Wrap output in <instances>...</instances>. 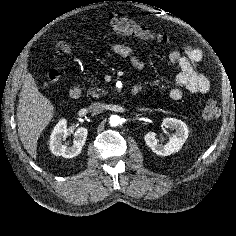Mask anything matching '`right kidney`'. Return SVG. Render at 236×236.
<instances>
[{"mask_svg": "<svg viewBox=\"0 0 236 236\" xmlns=\"http://www.w3.org/2000/svg\"><path fill=\"white\" fill-rule=\"evenodd\" d=\"M66 133L67 121L62 119L54 127L50 136V150L55 156H62L64 158L76 157L81 153L88 135V131L84 127L76 129L73 134L75 139L73 141V145L71 146L63 144Z\"/></svg>", "mask_w": 236, "mask_h": 236, "instance_id": "ca27d5eb", "label": "right kidney"}]
</instances>
